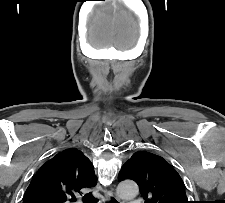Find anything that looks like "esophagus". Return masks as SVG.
I'll list each match as a JSON object with an SVG mask.
<instances>
[{
	"mask_svg": "<svg viewBox=\"0 0 225 203\" xmlns=\"http://www.w3.org/2000/svg\"><path fill=\"white\" fill-rule=\"evenodd\" d=\"M104 199L110 201L111 199H115L117 203H121L119 198L115 195L112 188L104 190Z\"/></svg>",
	"mask_w": 225,
	"mask_h": 203,
	"instance_id": "esophagus-1",
	"label": "esophagus"
}]
</instances>
